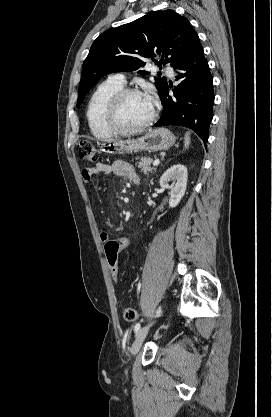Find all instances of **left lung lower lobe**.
Returning a JSON list of instances; mask_svg holds the SVG:
<instances>
[{"label": "left lung lower lobe", "instance_id": "0a47b994", "mask_svg": "<svg viewBox=\"0 0 272 417\" xmlns=\"http://www.w3.org/2000/svg\"><path fill=\"white\" fill-rule=\"evenodd\" d=\"M176 80L183 81L168 95L169 86L160 95L163 114L154 127L177 125L194 130L206 145L213 118V81L202 46L175 67ZM171 87V86H170Z\"/></svg>", "mask_w": 272, "mask_h": 417}]
</instances>
